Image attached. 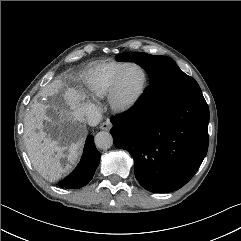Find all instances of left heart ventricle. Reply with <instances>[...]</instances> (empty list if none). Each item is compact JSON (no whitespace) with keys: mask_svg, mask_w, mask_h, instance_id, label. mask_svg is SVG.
<instances>
[{"mask_svg":"<svg viewBox=\"0 0 241 241\" xmlns=\"http://www.w3.org/2000/svg\"><path fill=\"white\" fill-rule=\"evenodd\" d=\"M144 75L137 67L127 68L119 78L118 93L121 98L135 94L143 83Z\"/></svg>","mask_w":241,"mask_h":241,"instance_id":"1","label":"left heart ventricle"}]
</instances>
